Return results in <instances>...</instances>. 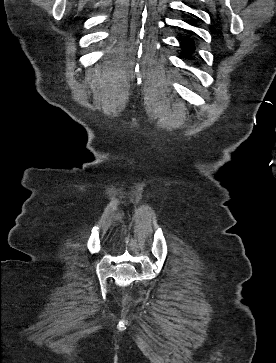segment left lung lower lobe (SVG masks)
Returning a JSON list of instances; mask_svg holds the SVG:
<instances>
[{
    "mask_svg": "<svg viewBox=\"0 0 276 363\" xmlns=\"http://www.w3.org/2000/svg\"><path fill=\"white\" fill-rule=\"evenodd\" d=\"M189 35H192L193 32L187 31ZM183 50L186 52V55H191L194 52L193 41L190 38H187L183 43H181Z\"/></svg>",
    "mask_w": 276,
    "mask_h": 363,
    "instance_id": "0a47b994",
    "label": "left lung lower lobe"
}]
</instances>
